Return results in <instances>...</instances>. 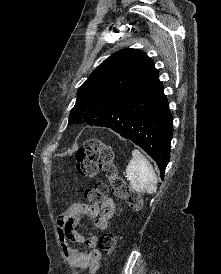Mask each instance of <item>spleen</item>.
<instances>
[{
  "label": "spleen",
  "mask_w": 221,
  "mask_h": 274,
  "mask_svg": "<svg viewBox=\"0 0 221 274\" xmlns=\"http://www.w3.org/2000/svg\"><path fill=\"white\" fill-rule=\"evenodd\" d=\"M132 157L126 167L130 186L136 191L155 193L157 177L152 165L137 149L132 151Z\"/></svg>",
  "instance_id": "3e777b00"
}]
</instances>
